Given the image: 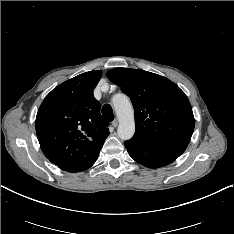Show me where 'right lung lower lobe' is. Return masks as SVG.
<instances>
[{"label":"right lung lower lobe","mask_w":234,"mask_h":234,"mask_svg":"<svg viewBox=\"0 0 234 234\" xmlns=\"http://www.w3.org/2000/svg\"><path fill=\"white\" fill-rule=\"evenodd\" d=\"M100 150H101V148H99L98 150H96L95 152H93L92 154L87 156L85 159H83V160H81V161H79V162H77L75 164L62 166L60 168L62 170L69 171V172H80V171H83L85 169H88L96 161Z\"/></svg>","instance_id":"1"}]
</instances>
